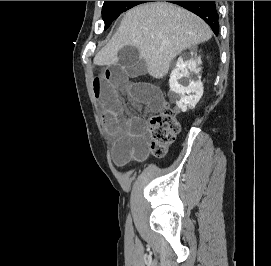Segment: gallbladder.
Listing matches in <instances>:
<instances>
[{
  "label": "gallbladder",
  "mask_w": 271,
  "mask_h": 266,
  "mask_svg": "<svg viewBox=\"0 0 271 266\" xmlns=\"http://www.w3.org/2000/svg\"><path fill=\"white\" fill-rule=\"evenodd\" d=\"M118 63L131 78L147 73V64L140 57L139 50L135 46L128 45L121 48L118 52Z\"/></svg>",
  "instance_id": "obj_1"
}]
</instances>
